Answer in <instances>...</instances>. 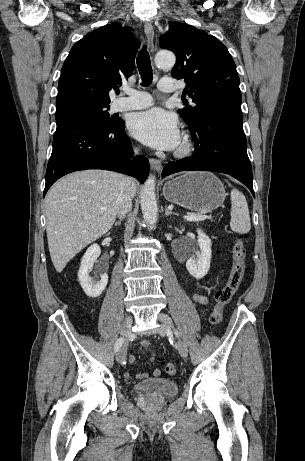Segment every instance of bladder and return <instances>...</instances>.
I'll list each match as a JSON object with an SVG mask.
<instances>
[{"label": "bladder", "instance_id": "1", "mask_svg": "<svg viewBox=\"0 0 305 461\" xmlns=\"http://www.w3.org/2000/svg\"><path fill=\"white\" fill-rule=\"evenodd\" d=\"M134 390L144 395L157 397L174 396L178 392L176 382L168 378H153L140 381L134 385Z\"/></svg>", "mask_w": 305, "mask_h": 461}]
</instances>
